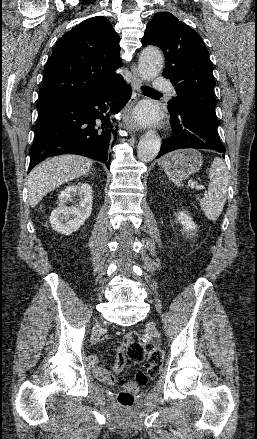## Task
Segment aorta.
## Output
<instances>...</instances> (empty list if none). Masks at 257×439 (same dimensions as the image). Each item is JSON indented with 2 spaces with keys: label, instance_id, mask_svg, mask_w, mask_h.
Returning <instances> with one entry per match:
<instances>
[{
  "label": "aorta",
  "instance_id": "obj_1",
  "mask_svg": "<svg viewBox=\"0 0 257 439\" xmlns=\"http://www.w3.org/2000/svg\"><path fill=\"white\" fill-rule=\"evenodd\" d=\"M163 55L156 47H147L142 50L139 62L138 71L142 79L151 80L158 76L163 68ZM160 150V138L155 131H148L138 144V158L142 162H150L157 155Z\"/></svg>",
  "mask_w": 257,
  "mask_h": 439
}]
</instances>
